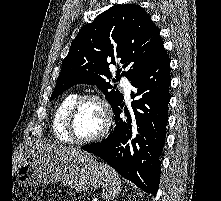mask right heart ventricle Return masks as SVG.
<instances>
[{
	"mask_svg": "<svg viewBox=\"0 0 221 201\" xmlns=\"http://www.w3.org/2000/svg\"><path fill=\"white\" fill-rule=\"evenodd\" d=\"M79 94L76 92H72L67 94L58 104L52 120V127L55 133V136L63 142L72 143L70 137L66 131V119L67 115L75 103V101L79 98Z\"/></svg>",
	"mask_w": 221,
	"mask_h": 201,
	"instance_id": "1",
	"label": "right heart ventricle"
}]
</instances>
